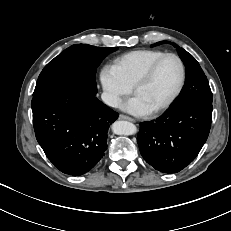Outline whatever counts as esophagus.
I'll return each mask as SVG.
<instances>
[{"label": "esophagus", "mask_w": 231, "mask_h": 231, "mask_svg": "<svg viewBox=\"0 0 231 231\" xmlns=\"http://www.w3.org/2000/svg\"><path fill=\"white\" fill-rule=\"evenodd\" d=\"M119 119H121V120H128V121H134L133 118H131V117L127 116V115H120Z\"/></svg>", "instance_id": "1"}]
</instances>
